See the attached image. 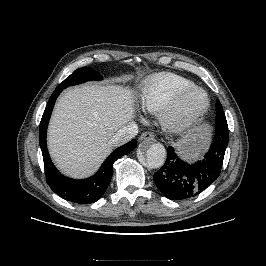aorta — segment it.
Segmentation results:
<instances>
[{
    "instance_id": "aorta-1",
    "label": "aorta",
    "mask_w": 266,
    "mask_h": 266,
    "mask_svg": "<svg viewBox=\"0 0 266 266\" xmlns=\"http://www.w3.org/2000/svg\"><path fill=\"white\" fill-rule=\"evenodd\" d=\"M145 163L155 169L163 166L166 158V149L161 143H153L145 149Z\"/></svg>"
}]
</instances>
